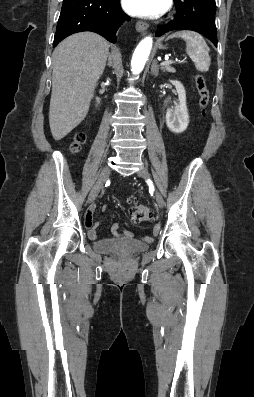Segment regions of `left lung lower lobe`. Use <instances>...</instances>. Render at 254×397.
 I'll return each mask as SVG.
<instances>
[{
  "instance_id": "0a47b994",
  "label": "left lung lower lobe",
  "mask_w": 254,
  "mask_h": 397,
  "mask_svg": "<svg viewBox=\"0 0 254 397\" xmlns=\"http://www.w3.org/2000/svg\"><path fill=\"white\" fill-rule=\"evenodd\" d=\"M177 13L173 21L159 25L156 36L176 29H187L205 35L217 47L215 0H174Z\"/></svg>"
}]
</instances>
